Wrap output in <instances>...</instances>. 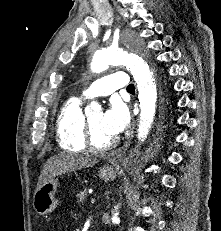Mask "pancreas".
<instances>
[{"instance_id":"cf45deb5","label":"pancreas","mask_w":221,"mask_h":231,"mask_svg":"<svg viewBox=\"0 0 221 231\" xmlns=\"http://www.w3.org/2000/svg\"><path fill=\"white\" fill-rule=\"evenodd\" d=\"M87 199V192H86V189L80 191L78 194H77V202H80V203H83L85 202Z\"/></svg>"}]
</instances>
